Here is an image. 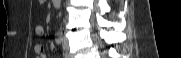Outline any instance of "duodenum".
<instances>
[{"mask_svg":"<svg viewBox=\"0 0 181 58\" xmlns=\"http://www.w3.org/2000/svg\"><path fill=\"white\" fill-rule=\"evenodd\" d=\"M52 2L55 7H59L61 5V0H53Z\"/></svg>","mask_w":181,"mask_h":58,"instance_id":"duodenum-1","label":"duodenum"}]
</instances>
